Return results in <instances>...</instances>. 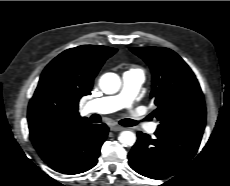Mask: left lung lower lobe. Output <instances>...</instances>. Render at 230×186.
<instances>
[{
  "label": "left lung lower lobe",
  "instance_id": "left-lung-lower-lobe-1",
  "mask_svg": "<svg viewBox=\"0 0 230 186\" xmlns=\"http://www.w3.org/2000/svg\"><path fill=\"white\" fill-rule=\"evenodd\" d=\"M155 138L138 132L129 153V165L137 173L164 179L180 171L196 154L202 134L157 128Z\"/></svg>",
  "mask_w": 230,
  "mask_h": 186
}]
</instances>
